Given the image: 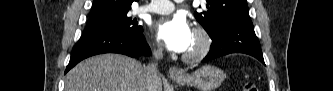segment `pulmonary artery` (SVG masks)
Here are the masks:
<instances>
[{"instance_id": "e3ab8cb5", "label": "pulmonary artery", "mask_w": 333, "mask_h": 91, "mask_svg": "<svg viewBox=\"0 0 333 91\" xmlns=\"http://www.w3.org/2000/svg\"><path fill=\"white\" fill-rule=\"evenodd\" d=\"M174 5L168 0H153L150 4L140 8L141 12H150L156 14H167L172 12Z\"/></svg>"}]
</instances>
